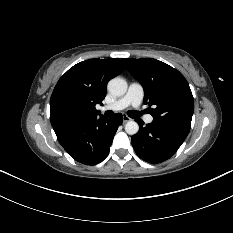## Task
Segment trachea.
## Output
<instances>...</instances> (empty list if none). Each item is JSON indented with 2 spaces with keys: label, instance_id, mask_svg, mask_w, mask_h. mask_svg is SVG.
Instances as JSON below:
<instances>
[{
  "label": "trachea",
  "instance_id": "3493384b",
  "mask_svg": "<svg viewBox=\"0 0 233 233\" xmlns=\"http://www.w3.org/2000/svg\"><path fill=\"white\" fill-rule=\"evenodd\" d=\"M128 115L131 117V118H138L140 117L141 113L138 112V111H135V110H130L128 112Z\"/></svg>",
  "mask_w": 233,
  "mask_h": 233
}]
</instances>
